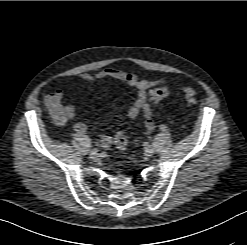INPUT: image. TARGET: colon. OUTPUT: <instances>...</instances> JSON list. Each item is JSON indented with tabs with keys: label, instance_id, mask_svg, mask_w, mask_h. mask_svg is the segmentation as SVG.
Here are the masks:
<instances>
[{
	"label": "colon",
	"instance_id": "5ec220e1",
	"mask_svg": "<svg viewBox=\"0 0 247 245\" xmlns=\"http://www.w3.org/2000/svg\"><path fill=\"white\" fill-rule=\"evenodd\" d=\"M185 97L188 103H194L198 96V93L193 88H186L184 90ZM150 99L153 102H159L164 99L167 95V90L163 87L155 88L149 92ZM114 144L120 151H125L127 148V139L122 132H117L114 137Z\"/></svg>",
	"mask_w": 247,
	"mask_h": 245
}]
</instances>
